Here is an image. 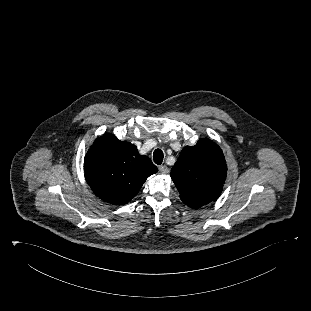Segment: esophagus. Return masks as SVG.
<instances>
[{
	"label": "esophagus",
	"mask_w": 311,
	"mask_h": 311,
	"mask_svg": "<svg viewBox=\"0 0 311 311\" xmlns=\"http://www.w3.org/2000/svg\"><path fill=\"white\" fill-rule=\"evenodd\" d=\"M159 171L161 173L167 174V173H169V168L165 165H161V166H159Z\"/></svg>",
	"instance_id": "esophagus-1"
}]
</instances>
